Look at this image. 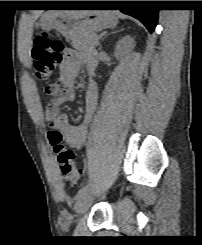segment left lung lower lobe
<instances>
[{
    "mask_svg": "<svg viewBox=\"0 0 202 245\" xmlns=\"http://www.w3.org/2000/svg\"><path fill=\"white\" fill-rule=\"evenodd\" d=\"M107 1H84L85 6L106 5ZM112 5L120 7L118 10L140 20L149 32H153L158 19V10L146 8L141 1H117Z\"/></svg>",
    "mask_w": 202,
    "mask_h": 245,
    "instance_id": "obj_1",
    "label": "left lung lower lobe"
}]
</instances>
